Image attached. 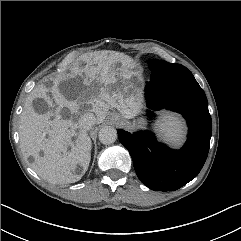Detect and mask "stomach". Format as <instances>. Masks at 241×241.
Returning a JSON list of instances; mask_svg holds the SVG:
<instances>
[{"label":"stomach","instance_id":"obj_1","mask_svg":"<svg viewBox=\"0 0 241 241\" xmlns=\"http://www.w3.org/2000/svg\"><path fill=\"white\" fill-rule=\"evenodd\" d=\"M120 66L119 65H117V68H119ZM121 78H123V77H117V81H116V83H114L112 86H111V89H110V91H109V94L110 95H112L113 93H117V92H119V91H123L124 90V80H125V78H123L122 80H121ZM124 118V121L125 122H127V120L125 119V117H123ZM135 124L137 123L136 121L134 122Z\"/></svg>","mask_w":241,"mask_h":241}]
</instances>
